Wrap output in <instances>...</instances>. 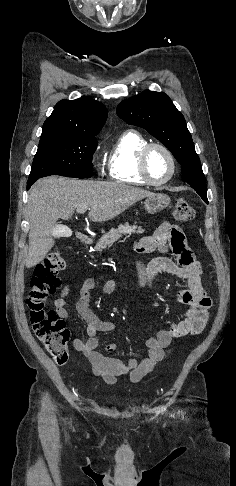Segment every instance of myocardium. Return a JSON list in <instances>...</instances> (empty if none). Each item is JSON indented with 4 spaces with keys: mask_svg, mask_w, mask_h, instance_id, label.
<instances>
[{
    "mask_svg": "<svg viewBox=\"0 0 236 486\" xmlns=\"http://www.w3.org/2000/svg\"><path fill=\"white\" fill-rule=\"evenodd\" d=\"M154 148H158V149L162 150L167 155V157L169 158L170 164H171V170H170L169 175L161 181L153 180L150 177V175L148 173V169H147V158H148L150 151ZM176 168H177V163H176V159H175L173 153L171 152V150L169 148H167L165 145H163L161 143H147L141 149V151L139 153L138 171H139L141 178L149 185L162 186V185L167 184L174 177V175L176 173Z\"/></svg>",
    "mask_w": 236,
    "mask_h": 486,
    "instance_id": "myocardium-1",
    "label": "myocardium"
}]
</instances>
